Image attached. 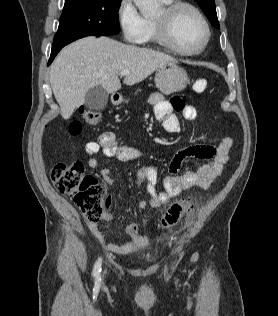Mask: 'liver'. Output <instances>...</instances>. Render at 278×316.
<instances>
[{
  "label": "liver",
  "instance_id": "6515ba94",
  "mask_svg": "<svg viewBox=\"0 0 278 316\" xmlns=\"http://www.w3.org/2000/svg\"><path fill=\"white\" fill-rule=\"evenodd\" d=\"M169 62L175 59L159 51L89 36L58 54L51 67L50 83L62 117L69 119L84 104L89 89L100 85L108 94L120 90L122 70L129 71L123 82L131 86Z\"/></svg>",
  "mask_w": 278,
  "mask_h": 316
}]
</instances>
